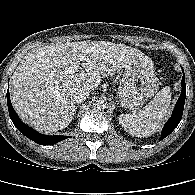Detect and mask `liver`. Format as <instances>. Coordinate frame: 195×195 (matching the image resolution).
Segmentation results:
<instances>
[{"label":"liver","mask_w":195,"mask_h":195,"mask_svg":"<svg viewBox=\"0 0 195 195\" xmlns=\"http://www.w3.org/2000/svg\"><path fill=\"white\" fill-rule=\"evenodd\" d=\"M146 55L106 41L67 42L28 53L11 77V101L27 124L44 133L66 128L75 114L73 92L94 90L102 78L113 76ZM83 59V60H82ZM80 61L84 71L78 72Z\"/></svg>","instance_id":"1"}]
</instances>
